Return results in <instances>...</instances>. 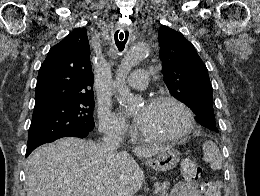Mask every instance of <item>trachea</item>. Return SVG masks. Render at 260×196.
Wrapping results in <instances>:
<instances>
[{
  "mask_svg": "<svg viewBox=\"0 0 260 196\" xmlns=\"http://www.w3.org/2000/svg\"><path fill=\"white\" fill-rule=\"evenodd\" d=\"M128 35H129L128 32L125 33L116 32L114 39H115V44L119 51L124 50L126 42L128 40Z\"/></svg>",
  "mask_w": 260,
  "mask_h": 196,
  "instance_id": "1",
  "label": "trachea"
}]
</instances>
